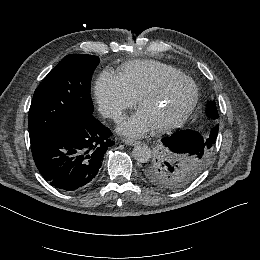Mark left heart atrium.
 I'll use <instances>...</instances> for the list:
<instances>
[{"instance_id":"left-heart-atrium-1","label":"left heart atrium","mask_w":260,"mask_h":260,"mask_svg":"<svg viewBox=\"0 0 260 260\" xmlns=\"http://www.w3.org/2000/svg\"><path fill=\"white\" fill-rule=\"evenodd\" d=\"M153 127L151 121L141 109L127 118L119 126V131L128 136L139 137L147 133Z\"/></svg>"}]
</instances>
